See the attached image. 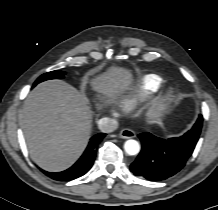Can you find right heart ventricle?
Here are the masks:
<instances>
[{
	"instance_id": "e07e8e85",
	"label": "right heart ventricle",
	"mask_w": 218,
	"mask_h": 210,
	"mask_svg": "<svg viewBox=\"0 0 218 210\" xmlns=\"http://www.w3.org/2000/svg\"><path fill=\"white\" fill-rule=\"evenodd\" d=\"M162 79L154 74H147L137 81L134 88L126 95L123 106L133 108L157 93L162 86Z\"/></svg>"
}]
</instances>
